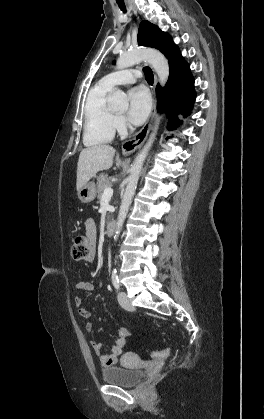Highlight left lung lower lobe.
I'll use <instances>...</instances> for the list:
<instances>
[{"instance_id": "1", "label": "left lung lower lobe", "mask_w": 264, "mask_h": 419, "mask_svg": "<svg viewBox=\"0 0 264 419\" xmlns=\"http://www.w3.org/2000/svg\"><path fill=\"white\" fill-rule=\"evenodd\" d=\"M169 60L170 73L167 84L161 89L156 87L158 109H165L170 116L169 129H175L179 124L177 115L187 116L192 110L196 98L194 79L189 64L182 57L179 48L174 44L170 51L163 52Z\"/></svg>"}]
</instances>
